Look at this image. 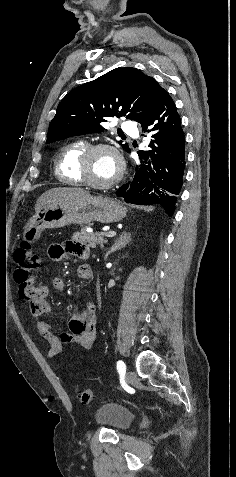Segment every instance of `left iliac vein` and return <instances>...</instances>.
<instances>
[{
  "instance_id": "1",
  "label": "left iliac vein",
  "mask_w": 236,
  "mask_h": 477,
  "mask_svg": "<svg viewBox=\"0 0 236 477\" xmlns=\"http://www.w3.org/2000/svg\"><path fill=\"white\" fill-rule=\"evenodd\" d=\"M136 379V375L132 370H128L125 374V380L128 384H132Z\"/></svg>"
}]
</instances>
